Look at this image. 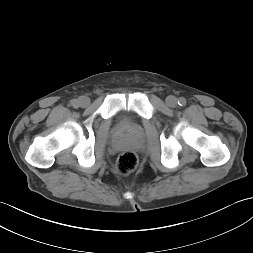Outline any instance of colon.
<instances>
[{
    "instance_id": "5ec220e1",
    "label": "colon",
    "mask_w": 253,
    "mask_h": 253,
    "mask_svg": "<svg viewBox=\"0 0 253 253\" xmlns=\"http://www.w3.org/2000/svg\"><path fill=\"white\" fill-rule=\"evenodd\" d=\"M138 164V157L132 151L122 152L116 160V169L122 175L133 172Z\"/></svg>"
}]
</instances>
